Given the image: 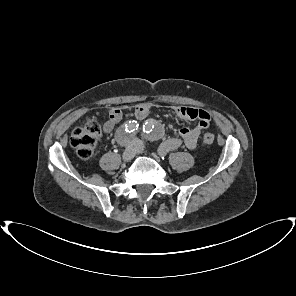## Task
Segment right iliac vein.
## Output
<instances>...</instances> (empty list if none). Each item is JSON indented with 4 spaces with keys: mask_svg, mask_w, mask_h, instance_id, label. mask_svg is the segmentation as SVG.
<instances>
[{
    "mask_svg": "<svg viewBox=\"0 0 296 296\" xmlns=\"http://www.w3.org/2000/svg\"><path fill=\"white\" fill-rule=\"evenodd\" d=\"M127 147L125 148L123 154H122V159L124 161H130L131 159L134 158L136 154V148L134 142H129L127 143Z\"/></svg>",
    "mask_w": 296,
    "mask_h": 296,
    "instance_id": "obj_1",
    "label": "right iliac vein"
}]
</instances>
